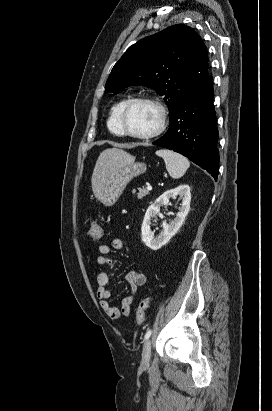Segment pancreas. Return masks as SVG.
<instances>
[{
  "label": "pancreas",
  "mask_w": 272,
  "mask_h": 411,
  "mask_svg": "<svg viewBox=\"0 0 272 411\" xmlns=\"http://www.w3.org/2000/svg\"><path fill=\"white\" fill-rule=\"evenodd\" d=\"M136 191H133V194H135ZM137 194L138 199H142L144 196L149 194V191L146 190L145 188H139Z\"/></svg>",
  "instance_id": "1"
}]
</instances>
